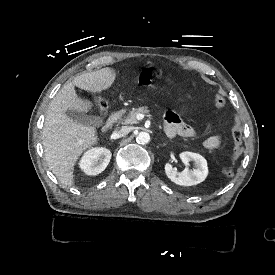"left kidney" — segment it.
I'll use <instances>...</instances> for the list:
<instances>
[{
    "label": "left kidney",
    "mask_w": 275,
    "mask_h": 275,
    "mask_svg": "<svg viewBox=\"0 0 275 275\" xmlns=\"http://www.w3.org/2000/svg\"><path fill=\"white\" fill-rule=\"evenodd\" d=\"M179 156L184 164H188L189 161H194L197 168L193 171L183 170L182 172H177L171 164L167 163L165 165V172L172 182L182 186H192L206 179L208 166L203 156L188 151L180 153Z\"/></svg>",
    "instance_id": "1"
}]
</instances>
